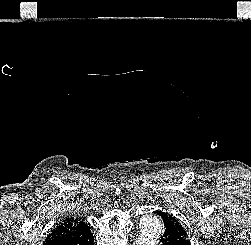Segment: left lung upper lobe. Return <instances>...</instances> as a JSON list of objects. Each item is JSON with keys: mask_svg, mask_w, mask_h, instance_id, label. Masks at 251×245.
I'll use <instances>...</instances> for the list:
<instances>
[{"mask_svg": "<svg viewBox=\"0 0 251 245\" xmlns=\"http://www.w3.org/2000/svg\"><path fill=\"white\" fill-rule=\"evenodd\" d=\"M162 213L167 216V218L162 217L164 227L173 226L184 239L188 240L187 233L181 223L173 215L164 212Z\"/></svg>", "mask_w": 251, "mask_h": 245, "instance_id": "obj_1", "label": "left lung upper lobe"}]
</instances>
